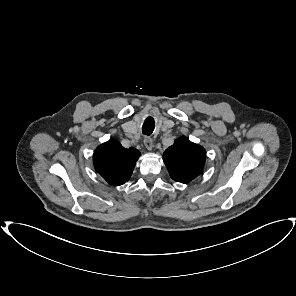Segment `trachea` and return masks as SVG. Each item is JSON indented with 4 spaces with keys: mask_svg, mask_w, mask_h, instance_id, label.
Listing matches in <instances>:
<instances>
[{
    "mask_svg": "<svg viewBox=\"0 0 296 296\" xmlns=\"http://www.w3.org/2000/svg\"><path fill=\"white\" fill-rule=\"evenodd\" d=\"M154 127H155V123H154V120L152 118H147L145 121H144V124L142 126V132L143 134L149 136L152 134L153 130H154Z\"/></svg>",
    "mask_w": 296,
    "mask_h": 296,
    "instance_id": "obj_1",
    "label": "trachea"
}]
</instances>
